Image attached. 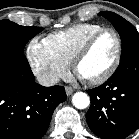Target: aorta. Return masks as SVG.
<instances>
[{
  "label": "aorta",
  "mask_w": 139,
  "mask_h": 139,
  "mask_svg": "<svg viewBox=\"0 0 139 139\" xmlns=\"http://www.w3.org/2000/svg\"><path fill=\"white\" fill-rule=\"evenodd\" d=\"M72 103L77 109H85L90 105V98L84 92H76L72 97Z\"/></svg>",
  "instance_id": "762f6f07"
}]
</instances>
